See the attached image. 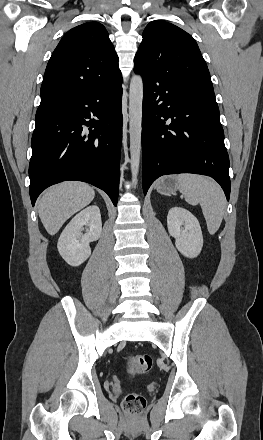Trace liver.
<instances>
[{
	"mask_svg": "<svg viewBox=\"0 0 263 440\" xmlns=\"http://www.w3.org/2000/svg\"><path fill=\"white\" fill-rule=\"evenodd\" d=\"M94 197V189L82 182L68 181L49 188L37 205L46 231L55 235L67 219L91 203Z\"/></svg>",
	"mask_w": 263,
	"mask_h": 440,
	"instance_id": "1",
	"label": "liver"
}]
</instances>
